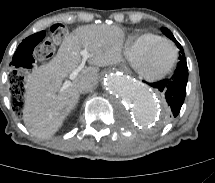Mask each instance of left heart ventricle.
Instances as JSON below:
<instances>
[{
	"instance_id": "obj_1",
	"label": "left heart ventricle",
	"mask_w": 215,
	"mask_h": 183,
	"mask_svg": "<svg viewBox=\"0 0 215 183\" xmlns=\"http://www.w3.org/2000/svg\"><path fill=\"white\" fill-rule=\"evenodd\" d=\"M173 49L168 43L159 44L148 56L146 68L151 72L162 70L171 62Z\"/></svg>"
}]
</instances>
